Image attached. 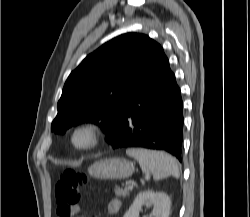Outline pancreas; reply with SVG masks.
I'll return each instance as SVG.
<instances>
[{"mask_svg":"<svg viewBox=\"0 0 250 217\" xmlns=\"http://www.w3.org/2000/svg\"><path fill=\"white\" fill-rule=\"evenodd\" d=\"M116 196H122V197H127L129 196V191L126 189H121V188H115L114 190Z\"/></svg>","mask_w":250,"mask_h":217,"instance_id":"cf45deb5","label":"pancreas"}]
</instances>
